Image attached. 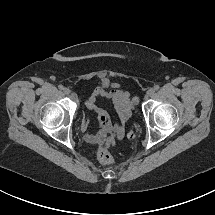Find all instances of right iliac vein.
<instances>
[{"instance_id":"right-iliac-vein-1","label":"right iliac vein","mask_w":215,"mask_h":215,"mask_svg":"<svg viewBox=\"0 0 215 215\" xmlns=\"http://www.w3.org/2000/svg\"><path fill=\"white\" fill-rule=\"evenodd\" d=\"M63 91H64V93L67 94V95L71 93V91H70L69 88H64Z\"/></svg>"}]
</instances>
